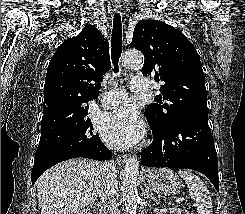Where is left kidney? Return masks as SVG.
I'll return each instance as SVG.
<instances>
[{"label":"left kidney","mask_w":245,"mask_h":214,"mask_svg":"<svg viewBox=\"0 0 245 214\" xmlns=\"http://www.w3.org/2000/svg\"><path fill=\"white\" fill-rule=\"evenodd\" d=\"M170 214H181L180 209L176 208V207H172L169 210Z\"/></svg>","instance_id":"left-kidney-1"}]
</instances>
